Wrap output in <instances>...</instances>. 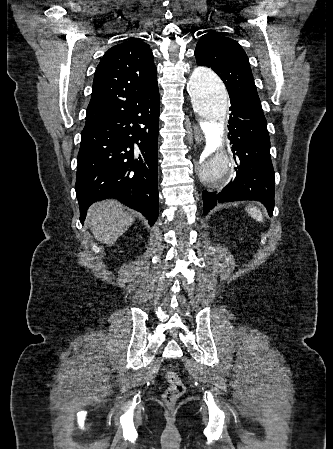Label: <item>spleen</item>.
Masks as SVG:
<instances>
[{"mask_svg": "<svg viewBox=\"0 0 333 449\" xmlns=\"http://www.w3.org/2000/svg\"><path fill=\"white\" fill-rule=\"evenodd\" d=\"M246 211L248 212V214H249L253 219H255V220L259 221V222H262V221H263V216H262L260 210L257 209L256 207L248 206V207L246 208Z\"/></svg>", "mask_w": 333, "mask_h": 449, "instance_id": "1", "label": "spleen"}]
</instances>
